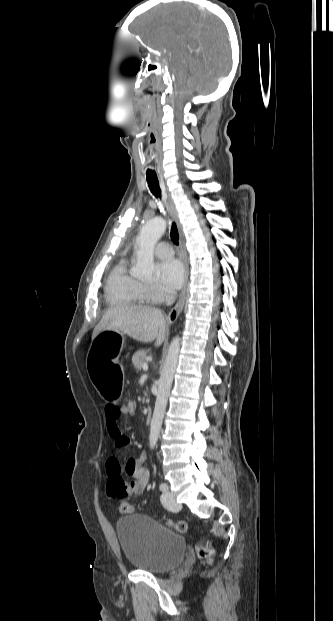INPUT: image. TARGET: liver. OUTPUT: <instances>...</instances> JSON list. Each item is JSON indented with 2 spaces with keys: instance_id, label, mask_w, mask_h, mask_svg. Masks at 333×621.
Wrapping results in <instances>:
<instances>
[{
  "instance_id": "obj_1",
  "label": "liver",
  "mask_w": 333,
  "mask_h": 621,
  "mask_svg": "<svg viewBox=\"0 0 333 621\" xmlns=\"http://www.w3.org/2000/svg\"><path fill=\"white\" fill-rule=\"evenodd\" d=\"M167 322L161 310L149 306L110 308L94 328L92 340L103 331H119L139 342H152L159 347L165 340Z\"/></svg>"
}]
</instances>
